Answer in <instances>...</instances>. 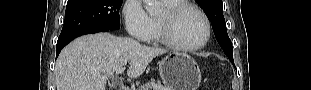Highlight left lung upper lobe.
<instances>
[{
  "label": "left lung upper lobe",
  "instance_id": "1",
  "mask_svg": "<svg viewBox=\"0 0 311 90\" xmlns=\"http://www.w3.org/2000/svg\"><path fill=\"white\" fill-rule=\"evenodd\" d=\"M201 8L204 10L208 19L212 24V28L219 45L224 53L233 61V46L228 37L226 23L223 16V2L222 0H197Z\"/></svg>",
  "mask_w": 311,
  "mask_h": 90
}]
</instances>
